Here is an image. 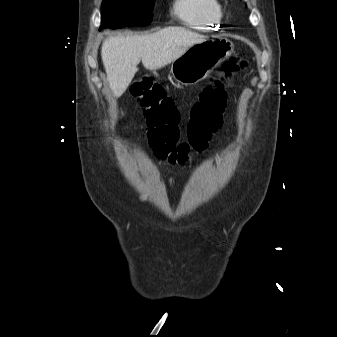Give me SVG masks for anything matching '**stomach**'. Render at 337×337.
Returning <instances> with one entry per match:
<instances>
[{
    "label": "stomach",
    "instance_id": "1",
    "mask_svg": "<svg viewBox=\"0 0 337 337\" xmlns=\"http://www.w3.org/2000/svg\"><path fill=\"white\" fill-rule=\"evenodd\" d=\"M233 50L234 45L227 38L206 39L190 46L174 60L171 73L174 79L181 84H196L227 59Z\"/></svg>",
    "mask_w": 337,
    "mask_h": 337
}]
</instances>
